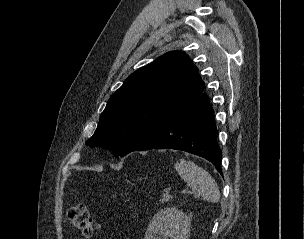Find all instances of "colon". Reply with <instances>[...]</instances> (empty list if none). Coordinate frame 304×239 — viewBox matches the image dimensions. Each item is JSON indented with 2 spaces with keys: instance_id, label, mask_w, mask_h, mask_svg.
<instances>
[{
  "instance_id": "1",
  "label": "colon",
  "mask_w": 304,
  "mask_h": 239,
  "mask_svg": "<svg viewBox=\"0 0 304 239\" xmlns=\"http://www.w3.org/2000/svg\"><path fill=\"white\" fill-rule=\"evenodd\" d=\"M67 217L72 226L83 236L92 237L95 235L97 226L84 203H78L71 206L67 211Z\"/></svg>"
}]
</instances>
